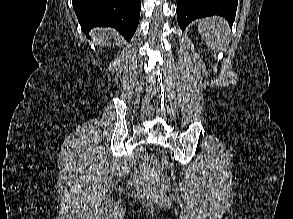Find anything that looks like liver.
<instances>
[{"label": "liver", "instance_id": "1", "mask_svg": "<svg viewBox=\"0 0 293 219\" xmlns=\"http://www.w3.org/2000/svg\"><path fill=\"white\" fill-rule=\"evenodd\" d=\"M110 34H112V32L111 31H108V35H110ZM106 37H107L106 35H102L101 36V40L104 41L106 39Z\"/></svg>", "mask_w": 293, "mask_h": 219}]
</instances>
